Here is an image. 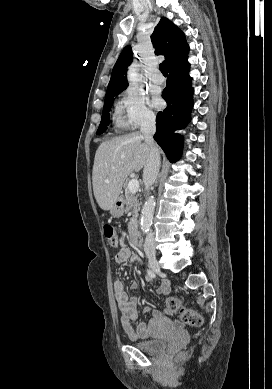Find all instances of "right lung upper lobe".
Masks as SVG:
<instances>
[{
    "mask_svg": "<svg viewBox=\"0 0 272 389\" xmlns=\"http://www.w3.org/2000/svg\"><path fill=\"white\" fill-rule=\"evenodd\" d=\"M157 55H164L167 67L185 59L189 52L184 33L169 19L162 17L151 35ZM132 50L126 46L113 67L106 96L123 91L127 86L126 71L132 62ZM105 96V97H106Z\"/></svg>",
    "mask_w": 272,
    "mask_h": 389,
    "instance_id": "obj_1",
    "label": "right lung upper lobe"
}]
</instances>
